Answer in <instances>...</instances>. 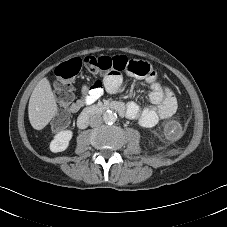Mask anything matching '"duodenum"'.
Segmentation results:
<instances>
[{
  "mask_svg": "<svg viewBox=\"0 0 227 227\" xmlns=\"http://www.w3.org/2000/svg\"><path fill=\"white\" fill-rule=\"evenodd\" d=\"M115 111L118 112L121 116L126 115L125 106L118 102H108L100 105H96L90 108H87L78 118L77 126L80 129L86 128L90 122L92 116L96 113H102L106 111Z\"/></svg>",
  "mask_w": 227,
  "mask_h": 227,
  "instance_id": "duodenum-1",
  "label": "duodenum"
}]
</instances>
